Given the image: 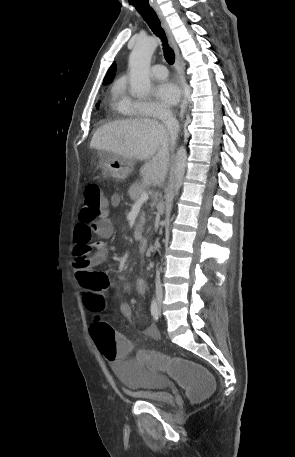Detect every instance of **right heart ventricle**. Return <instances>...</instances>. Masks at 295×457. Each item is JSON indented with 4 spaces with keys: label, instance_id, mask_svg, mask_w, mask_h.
<instances>
[{
    "label": "right heart ventricle",
    "instance_id": "1",
    "mask_svg": "<svg viewBox=\"0 0 295 457\" xmlns=\"http://www.w3.org/2000/svg\"><path fill=\"white\" fill-rule=\"evenodd\" d=\"M110 104L114 112L123 118H133L137 116L134 101L127 95L123 81L113 84L110 91Z\"/></svg>",
    "mask_w": 295,
    "mask_h": 457
}]
</instances>
